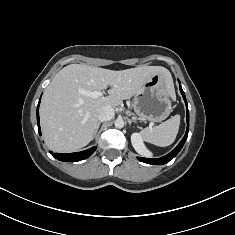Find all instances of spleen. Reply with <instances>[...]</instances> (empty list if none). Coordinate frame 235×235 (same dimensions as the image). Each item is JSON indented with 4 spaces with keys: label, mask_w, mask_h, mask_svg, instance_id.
I'll use <instances>...</instances> for the list:
<instances>
[{
    "label": "spleen",
    "mask_w": 235,
    "mask_h": 235,
    "mask_svg": "<svg viewBox=\"0 0 235 235\" xmlns=\"http://www.w3.org/2000/svg\"><path fill=\"white\" fill-rule=\"evenodd\" d=\"M179 125L180 115H175L158 126L145 128L141 131V135L151 144L166 147L175 141Z\"/></svg>",
    "instance_id": "3e777b00"
}]
</instances>
